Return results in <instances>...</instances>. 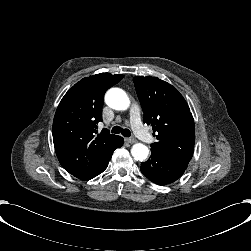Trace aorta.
I'll use <instances>...</instances> for the list:
<instances>
[{
    "instance_id": "obj_1",
    "label": "aorta",
    "mask_w": 251,
    "mask_h": 251,
    "mask_svg": "<svg viewBox=\"0 0 251 251\" xmlns=\"http://www.w3.org/2000/svg\"><path fill=\"white\" fill-rule=\"evenodd\" d=\"M106 104L115 110H126L130 105V100L124 90L111 88L105 94ZM149 149L142 143L132 146L131 155L136 161H144L148 157Z\"/></svg>"
}]
</instances>
